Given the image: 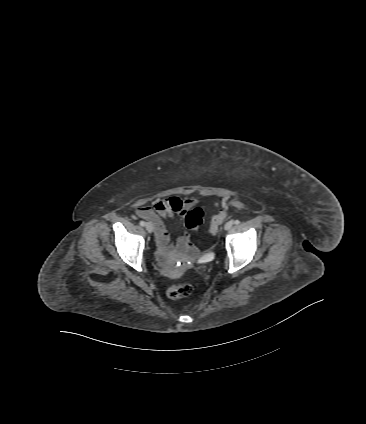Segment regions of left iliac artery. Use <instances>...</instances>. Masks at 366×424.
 <instances>
[{"mask_svg": "<svg viewBox=\"0 0 366 424\" xmlns=\"http://www.w3.org/2000/svg\"><path fill=\"white\" fill-rule=\"evenodd\" d=\"M234 224H235V225H239V224H240V221H239V220H235V221H234Z\"/></svg>", "mask_w": 366, "mask_h": 424, "instance_id": "44dca946", "label": "left iliac artery"}]
</instances>
